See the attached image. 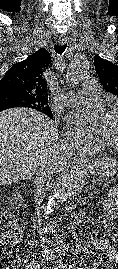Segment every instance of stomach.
<instances>
[{"instance_id": "0dacf381", "label": "stomach", "mask_w": 118, "mask_h": 269, "mask_svg": "<svg viewBox=\"0 0 118 269\" xmlns=\"http://www.w3.org/2000/svg\"><path fill=\"white\" fill-rule=\"evenodd\" d=\"M85 166L99 177H110L118 173V162L110 157L98 158L94 163Z\"/></svg>"}]
</instances>
